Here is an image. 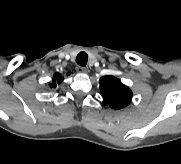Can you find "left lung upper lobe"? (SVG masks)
Here are the masks:
<instances>
[{
	"instance_id": "obj_1",
	"label": "left lung upper lobe",
	"mask_w": 181,
	"mask_h": 164,
	"mask_svg": "<svg viewBox=\"0 0 181 164\" xmlns=\"http://www.w3.org/2000/svg\"><path fill=\"white\" fill-rule=\"evenodd\" d=\"M99 83L100 94L105 105L118 110L130 104L132 91L119 79L113 76H103Z\"/></svg>"
}]
</instances>
